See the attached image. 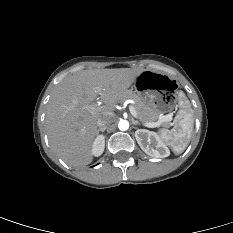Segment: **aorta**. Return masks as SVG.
<instances>
[{"mask_svg":"<svg viewBox=\"0 0 233 233\" xmlns=\"http://www.w3.org/2000/svg\"><path fill=\"white\" fill-rule=\"evenodd\" d=\"M118 128L121 131H126L129 128V122L127 120H120L118 123Z\"/></svg>","mask_w":233,"mask_h":233,"instance_id":"aorta-1","label":"aorta"}]
</instances>
